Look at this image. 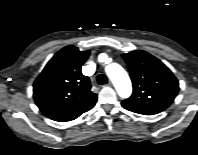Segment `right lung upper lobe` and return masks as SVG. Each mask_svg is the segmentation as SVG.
I'll list each match as a JSON object with an SVG mask.
<instances>
[{
    "instance_id": "cb5924a9",
    "label": "right lung upper lobe",
    "mask_w": 198,
    "mask_h": 155,
    "mask_svg": "<svg viewBox=\"0 0 198 155\" xmlns=\"http://www.w3.org/2000/svg\"><path fill=\"white\" fill-rule=\"evenodd\" d=\"M89 51H79L69 45L47 63L33 86L38 108L52 120H73L91 109L97 94L91 91L89 77L81 71Z\"/></svg>"
}]
</instances>
